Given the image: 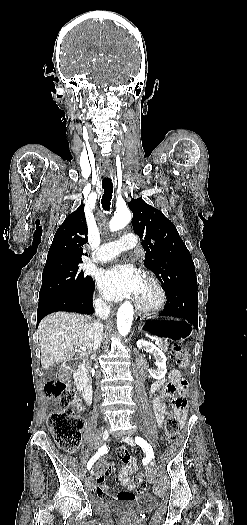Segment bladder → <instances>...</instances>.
I'll return each instance as SVG.
<instances>
[{
	"instance_id": "bladder-1",
	"label": "bladder",
	"mask_w": 247,
	"mask_h": 525,
	"mask_svg": "<svg viewBox=\"0 0 247 525\" xmlns=\"http://www.w3.org/2000/svg\"><path fill=\"white\" fill-rule=\"evenodd\" d=\"M157 504V499L151 494L137 495L133 498L116 499L111 512L121 517L144 515Z\"/></svg>"
}]
</instances>
